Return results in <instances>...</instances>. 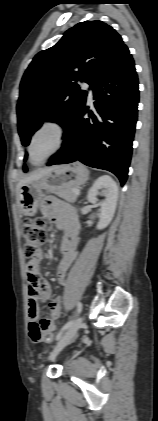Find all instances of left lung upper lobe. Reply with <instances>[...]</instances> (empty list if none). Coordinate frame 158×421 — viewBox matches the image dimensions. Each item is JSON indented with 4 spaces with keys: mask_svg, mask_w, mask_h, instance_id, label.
Instances as JSON below:
<instances>
[{
    "mask_svg": "<svg viewBox=\"0 0 158 421\" xmlns=\"http://www.w3.org/2000/svg\"><path fill=\"white\" fill-rule=\"evenodd\" d=\"M123 45L111 26L85 21L67 30L56 45L39 52L20 84L17 114L22 144H29L44 120L67 128L86 101L87 92L78 83L91 85Z\"/></svg>",
    "mask_w": 158,
    "mask_h": 421,
    "instance_id": "obj_1",
    "label": "left lung upper lobe"
}]
</instances>
